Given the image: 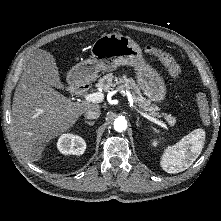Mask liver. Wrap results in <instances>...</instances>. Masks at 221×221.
Wrapping results in <instances>:
<instances>
[{
	"label": "liver",
	"instance_id": "1",
	"mask_svg": "<svg viewBox=\"0 0 221 221\" xmlns=\"http://www.w3.org/2000/svg\"><path fill=\"white\" fill-rule=\"evenodd\" d=\"M54 57L36 50L16 87L12 122L18 149L31 161H39L46 144L76 123L87 110L100 108L94 103L71 102L52 85Z\"/></svg>",
	"mask_w": 221,
	"mask_h": 221
}]
</instances>
